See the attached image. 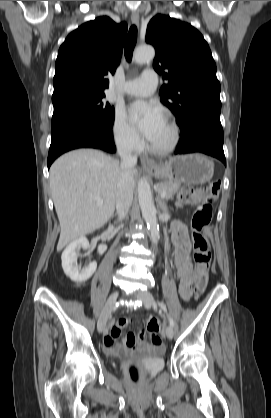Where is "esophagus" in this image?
<instances>
[{
    "label": "esophagus",
    "instance_id": "obj_1",
    "mask_svg": "<svg viewBox=\"0 0 271 418\" xmlns=\"http://www.w3.org/2000/svg\"><path fill=\"white\" fill-rule=\"evenodd\" d=\"M131 20L135 25H139V13L137 11H133L131 14ZM141 163L143 166L152 167L155 166V163L153 160L146 156L141 157Z\"/></svg>",
    "mask_w": 271,
    "mask_h": 418
}]
</instances>
